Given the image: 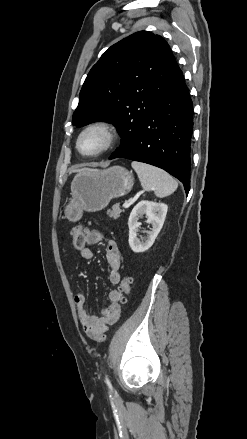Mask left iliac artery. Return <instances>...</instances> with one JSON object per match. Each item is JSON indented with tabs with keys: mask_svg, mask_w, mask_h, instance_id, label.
Returning <instances> with one entry per match:
<instances>
[{
	"mask_svg": "<svg viewBox=\"0 0 247 439\" xmlns=\"http://www.w3.org/2000/svg\"><path fill=\"white\" fill-rule=\"evenodd\" d=\"M105 381H106L107 384H110V381H109V379H108L107 376H106V378H105Z\"/></svg>",
	"mask_w": 247,
	"mask_h": 439,
	"instance_id": "left-iliac-artery-1",
	"label": "left iliac artery"
}]
</instances>
